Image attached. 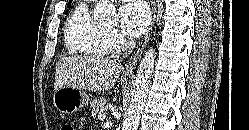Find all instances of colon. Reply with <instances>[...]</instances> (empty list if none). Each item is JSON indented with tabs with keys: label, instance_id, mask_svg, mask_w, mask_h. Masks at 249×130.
<instances>
[{
	"label": "colon",
	"instance_id": "1",
	"mask_svg": "<svg viewBox=\"0 0 249 130\" xmlns=\"http://www.w3.org/2000/svg\"><path fill=\"white\" fill-rule=\"evenodd\" d=\"M61 130H75V127L70 123H65L62 125Z\"/></svg>",
	"mask_w": 249,
	"mask_h": 130
}]
</instances>
